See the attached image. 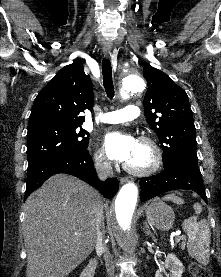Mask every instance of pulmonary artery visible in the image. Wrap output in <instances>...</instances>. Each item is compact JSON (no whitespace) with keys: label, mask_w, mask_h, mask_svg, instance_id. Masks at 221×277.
<instances>
[{"label":"pulmonary artery","mask_w":221,"mask_h":277,"mask_svg":"<svg viewBox=\"0 0 221 277\" xmlns=\"http://www.w3.org/2000/svg\"><path fill=\"white\" fill-rule=\"evenodd\" d=\"M140 115L141 110L137 105H128L123 109L102 114L100 121L103 123L117 124L136 120Z\"/></svg>","instance_id":"e3ab8cb5"}]
</instances>
